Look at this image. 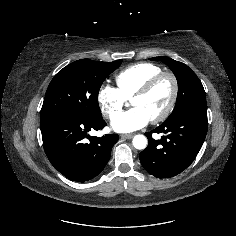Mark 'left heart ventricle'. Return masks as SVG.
<instances>
[{
    "label": "left heart ventricle",
    "instance_id": "1",
    "mask_svg": "<svg viewBox=\"0 0 236 236\" xmlns=\"http://www.w3.org/2000/svg\"><path fill=\"white\" fill-rule=\"evenodd\" d=\"M172 85L169 79H163L154 89L144 97L131 100L132 107L142 109L151 119L161 114L168 104L171 96Z\"/></svg>",
    "mask_w": 236,
    "mask_h": 236
}]
</instances>
